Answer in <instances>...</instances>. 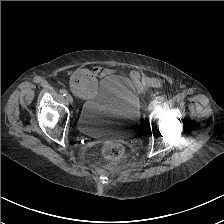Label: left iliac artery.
<instances>
[{"mask_svg": "<svg viewBox=\"0 0 224 224\" xmlns=\"http://www.w3.org/2000/svg\"><path fill=\"white\" fill-rule=\"evenodd\" d=\"M164 97L163 96H158V97H156V102L159 104V103H161V102H163L164 101Z\"/></svg>", "mask_w": 224, "mask_h": 224, "instance_id": "44dca946", "label": "left iliac artery"}]
</instances>
